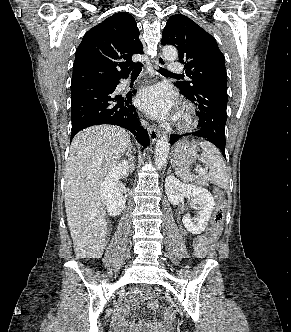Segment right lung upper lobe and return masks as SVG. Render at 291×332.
<instances>
[{
  "mask_svg": "<svg viewBox=\"0 0 291 332\" xmlns=\"http://www.w3.org/2000/svg\"><path fill=\"white\" fill-rule=\"evenodd\" d=\"M134 54H143L135 19L125 12L115 13L84 35L76 51L71 86L127 77L131 68L141 65L132 61Z\"/></svg>",
  "mask_w": 291,
  "mask_h": 332,
  "instance_id": "right-lung-upper-lobe-1",
  "label": "right lung upper lobe"
}]
</instances>
